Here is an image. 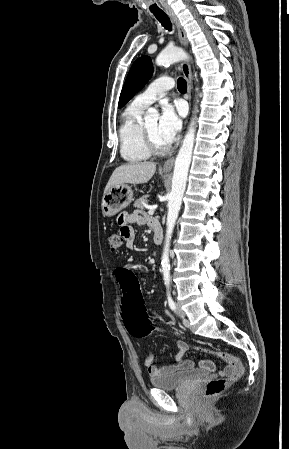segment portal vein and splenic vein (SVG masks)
Here are the masks:
<instances>
[{
	"label": "portal vein and splenic vein",
	"mask_w": 289,
	"mask_h": 449,
	"mask_svg": "<svg viewBox=\"0 0 289 449\" xmlns=\"http://www.w3.org/2000/svg\"><path fill=\"white\" fill-rule=\"evenodd\" d=\"M155 209H156V206H151V207H149V211H148L149 215H153Z\"/></svg>",
	"instance_id": "1"
}]
</instances>
